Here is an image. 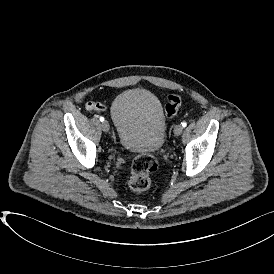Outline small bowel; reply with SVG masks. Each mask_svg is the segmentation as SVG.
Instances as JSON below:
<instances>
[{
	"label": "small bowel",
	"instance_id": "small-bowel-1",
	"mask_svg": "<svg viewBox=\"0 0 274 274\" xmlns=\"http://www.w3.org/2000/svg\"><path fill=\"white\" fill-rule=\"evenodd\" d=\"M100 106H101V110H103L104 109V106L102 105V104H100ZM86 109H87V104H86ZM88 110V109H87Z\"/></svg>",
	"mask_w": 274,
	"mask_h": 274
}]
</instances>
